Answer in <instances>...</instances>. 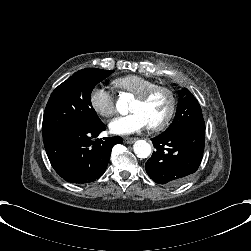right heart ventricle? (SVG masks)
<instances>
[{"label":"right heart ventricle","mask_w":251,"mask_h":251,"mask_svg":"<svg viewBox=\"0 0 251 251\" xmlns=\"http://www.w3.org/2000/svg\"><path fill=\"white\" fill-rule=\"evenodd\" d=\"M113 84L116 87L137 96L154 85L155 81L143 75L129 74L115 79Z\"/></svg>","instance_id":"obj_1"}]
</instances>
